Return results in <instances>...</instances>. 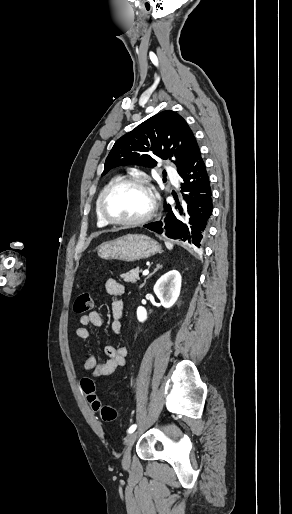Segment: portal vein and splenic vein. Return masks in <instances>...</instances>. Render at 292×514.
I'll return each mask as SVG.
<instances>
[{"label": "portal vein and splenic vein", "mask_w": 292, "mask_h": 514, "mask_svg": "<svg viewBox=\"0 0 292 514\" xmlns=\"http://www.w3.org/2000/svg\"><path fill=\"white\" fill-rule=\"evenodd\" d=\"M147 274H149L148 270H145V272H143V276H147Z\"/></svg>", "instance_id": "1"}]
</instances>
